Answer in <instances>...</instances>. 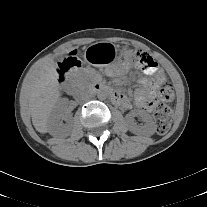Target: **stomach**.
Wrapping results in <instances>:
<instances>
[{"label":"stomach","instance_id":"obj_1","mask_svg":"<svg viewBox=\"0 0 207 207\" xmlns=\"http://www.w3.org/2000/svg\"><path fill=\"white\" fill-rule=\"evenodd\" d=\"M86 61L93 66L111 68L117 63V52L113 44L108 42H98L88 47L85 52Z\"/></svg>","mask_w":207,"mask_h":207}]
</instances>
